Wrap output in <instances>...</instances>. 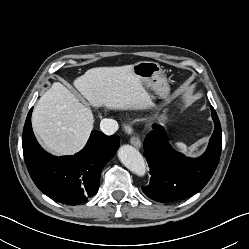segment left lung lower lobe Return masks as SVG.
<instances>
[{"mask_svg":"<svg viewBox=\"0 0 249 249\" xmlns=\"http://www.w3.org/2000/svg\"><path fill=\"white\" fill-rule=\"evenodd\" d=\"M215 129L207 151L192 159L176 152L168 143L162 126L154 125L144 142V152L150 167V184L143 192L158 202L187 198L200 191L212 177L221 154V126L211 106Z\"/></svg>","mask_w":249,"mask_h":249,"instance_id":"obj_1","label":"left lung lower lobe"}]
</instances>
